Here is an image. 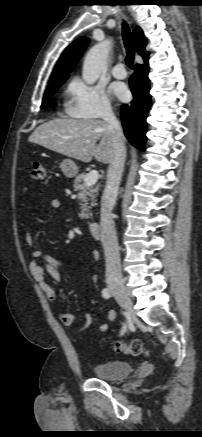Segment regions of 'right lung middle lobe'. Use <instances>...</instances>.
<instances>
[{
	"label": "right lung middle lobe",
	"instance_id": "obj_1",
	"mask_svg": "<svg viewBox=\"0 0 202 437\" xmlns=\"http://www.w3.org/2000/svg\"><path fill=\"white\" fill-rule=\"evenodd\" d=\"M65 80L66 79H62V80L57 81V82L50 84L48 86V88L44 94V97H43V101H42V105H41L42 109H44L47 106L51 96L58 90V88L65 82Z\"/></svg>",
	"mask_w": 202,
	"mask_h": 437
}]
</instances>
